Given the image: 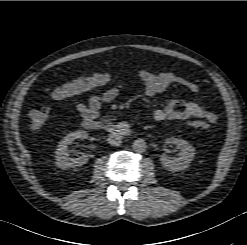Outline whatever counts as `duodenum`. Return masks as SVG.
Returning a JSON list of instances; mask_svg holds the SVG:
<instances>
[{
    "label": "duodenum",
    "instance_id": "obj_1",
    "mask_svg": "<svg viewBox=\"0 0 247 245\" xmlns=\"http://www.w3.org/2000/svg\"><path fill=\"white\" fill-rule=\"evenodd\" d=\"M83 126L84 128L92 131H106L109 132L112 136L120 138L126 137L131 133V129L127 123L112 124L102 121L84 120Z\"/></svg>",
    "mask_w": 247,
    "mask_h": 245
}]
</instances>
